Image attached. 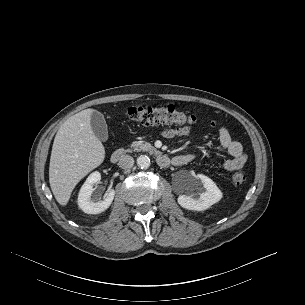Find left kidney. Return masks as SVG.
I'll use <instances>...</instances> for the list:
<instances>
[{
  "label": "left kidney",
  "instance_id": "5707ae66",
  "mask_svg": "<svg viewBox=\"0 0 305 305\" xmlns=\"http://www.w3.org/2000/svg\"><path fill=\"white\" fill-rule=\"evenodd\" d=\"M195 189L199 190L198 198L190 195ZM187 190L189 194H181L178 197L179 205L187 210H206L222 198V192L217 185L203 174L192 177L187 184Z\"/></svg>",
  "mask_w": 305,
  "mask_h": 305
}]
</instances>
